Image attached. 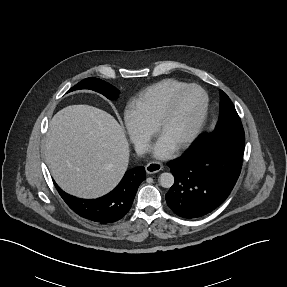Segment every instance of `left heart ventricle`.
<instances>
[{"label": "left heart ventricle", "mask_w": 287, "mask_h": 287, "mask_svg": "<svg viewBox=\"0 0 287 287\" xmlns=\"http://www.w3.org/2000/svg\"><path fill=\"white\" fill-rule=\"evenodd\" d=\"M203 97L197 90L185 92L175 103L174 110L159 136V141L169 147L178 145L197 123Z\"/></svg>", "instance_id": "b2bd125f"}]
</instances>
